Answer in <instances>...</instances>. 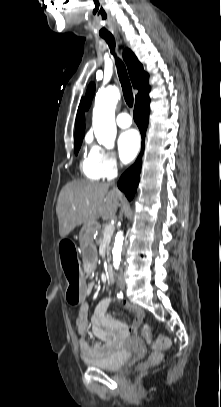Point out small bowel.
I'll return each mask as SVG.
<instances>
[{
  "label": "small bowel",
  "mask_w": 221,
  "mask_h": 407,
  "mask_svg": "<svg viewBox=\"0 0 221 407\" xmlns=\"http://www.w3.org/2000/svg\"><path fill=\"white\" fill-rule=\"evenodd\" d=\"M95 288V284L90 282L84 288V300L78 310L76 318L77 328V345L81 357L84 360L101 358L109 354L120 343V341L128 337L132 333H136L142 323L144 314L141 310L134 307L132 304L124 302L125 309L133 310L136 313V320L128 325L114 315L108 313L107 308L111 298L109 296L102 299L96 306L93 314L89 317L88 303L85 300ZM91 328L93 335L98 342L94 345L87 341V332Z\"/></svg>",
  "instance_id": "small-bowel-1"
}]
</instances>
